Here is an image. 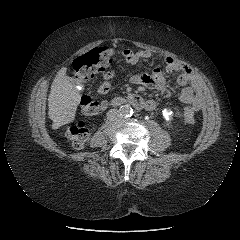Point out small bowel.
I'll return each instance as SVG.
<instances>
[{"mask_svg": "<svg viewBox=\"0 0 240 240\" xmlns=\"http://www.w3.org/2000/svg\"><path fill=\"white\" fill-rule=\"evenodd\" d=\"M152 56V52L147 49H140L136 52L125 50L123 52L124 66H135L140 60L147 59ZM165 70L167 72H179L180 75L177 83L183 87L178 95V100L181 103L190 107L194 112L201 109L203 101L200 92L199 83L195 73L183 62L167 56L165 58ZM115 75L114 70L107 71L103 74L101 81L97 86V92L101 95L107 94L111 88V80ZM130 81L134 84H141L153 87L159 91L166 89V82L163 72L160 69H155L150 73H138L130 77ZM109 102L104 100L101 102V108L105 109ZM157 103L150 99L146 102V109H155Z\"/></svg>", "mask_w": 240, "mask_h": 240, "instance_id": "1", "label": "small bowel"}]
</instances>
